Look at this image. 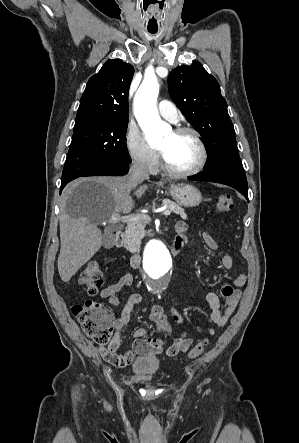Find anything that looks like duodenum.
Wrapping results in <instances>:
<instances>
[{"label":"duodenum","instance_id":"1","mask_svg":"<svg viewBox=\"0 0 299 443\" xmlns=\"http://www.w3.org/2000/svg\"><path fill=\"white\" fill-rule=\"evenodd\" d=\"M122 238H123V231L119 230L116 233V237H115V243L117 246H121L122 245ZM183 243L179 242V241H174L173 245L171 246V254L172 255H178L182 250H183ZM130 265L132 268H139L141 265V257L139 254H133L130 258Z\"/></svg>","mask_w":299,"mask_h":443}]
</instances>
